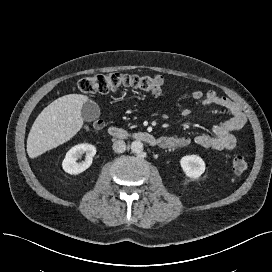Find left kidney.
I'll return each mask as SVG.
<instances>
[{
	"mask_svg": "<svg viewBox=\"0 0 272 272\" xmlns=\"http://www.w3.org/2000/svg\"><path fill=\"white\" fill-rule=\"evenodd\" d=\"M180 165L189 178H199L205 172V162L198 155H186L180 160Z\"/></svg>",
	"mask_w": 272,
	"mask_h": 272,
	"instance_id": "1",
	"label": "left kidney"
}]
</instances>
